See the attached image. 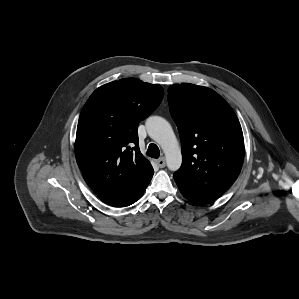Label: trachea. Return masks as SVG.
<instances>
[{
  "instance_id": "trachea-1",
  "label": "trachea",
  "mask_w": 299,
  "mask_h": 299,
  "mask_svg": "<svg viewBox=\"0 0 299 299\" xmlns=\"http://www.w3.org/2000/svg\"><path fill=\"white\" fill-rule=\"evenodd\" d=\"M146 155L152 158H159L160 151L156 144L151 143L148 147V150L146 152Z\"/></svg>"
}]
</instances>
